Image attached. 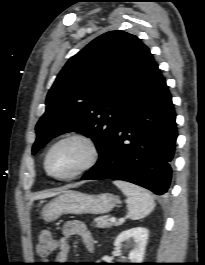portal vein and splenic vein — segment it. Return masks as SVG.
Here are the masks:
<instances>
[{"label": "portal vein and splenic vein", "instance_id": "portal-vein-and-splenic-vein-1", "mask_svg": "<svg viewBox=\"0 0 205 265\" xmlns=\"http://www.w3.org/2000/svg\"><path fill=\"white\" fill-rule=\"evenodd\" d=\"M110 221H111V222H116L117 219H116L115 217H111V218H110Z\"/></svg>", "mask_w": 205, "mask_h": 265}]
</instances>
